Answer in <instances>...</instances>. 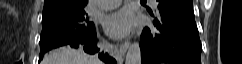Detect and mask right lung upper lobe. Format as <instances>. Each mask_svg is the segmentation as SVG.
I'll use <instances>...</instances> for the list:
<instances>
[{
    "instance_id": "1",
    "label": "right lung upper lobe",
    "mask_w": 242,
    "mask_h": 64,
    "mask_svg": "<svg viewBox=\"0 0 242 64\" xmlns=\"http://www.w3.org/2000/svg\"><path fill=\"white\" fill-rule=\"evenodd\" d=\"M88 0H45L43 13L83 8L87 5Z\"/></svg>"
}]
</instances>
